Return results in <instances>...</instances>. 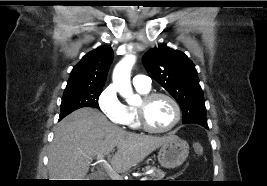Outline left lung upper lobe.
I'll return each mask as SVG.
<instances>
[{"mask_svg":"<svg viewBox=\"0 0 267 186\" xmlns=\"http://www.w3.org/2000/svg\"><path fill=\"white\" fill-rule=\"evenodd\" d=\"M143 62L150 77L179 103L183 124L208 126L203 92L195 65L183 52L161 45L149 49L143 56Z\"/></svg>","mask_w":267,"mask_h":186,"instance_id":"obj_1","label":"left lung upper lobe"}]
</instances>
